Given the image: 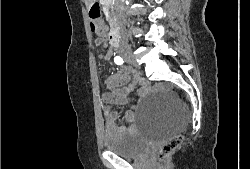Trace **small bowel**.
<instances>
[{"label": "small bowel", "mask_w": 250, "mask_h": 169, "mask_svg": "<svg viewBox=\"0 0 250 169\" xmlns=\"http://www.w3.org/2000/svg\"><path fill=\"white\" fill-rule=\"evenodd\" d=\"M106 36L104 31L98 34L96 39L97 44H105ZM111 53H103L100 55V60L108 58ZM138 87L136 96L141 98L148 90L149 82L147 79L139 76L138 74H132L129 71H122L110 75L105 81V93L104 101L110 105H124L127 103L128 95L134 92ZM118 113L115 111L106 110V133L108 135L114 133H132L136 129V115L133 109L128 110L125 113V119L128 122L125 126H117L115 120Z\"/></svg>", "instance_id": "small-bowel-1"}]
</instances>
